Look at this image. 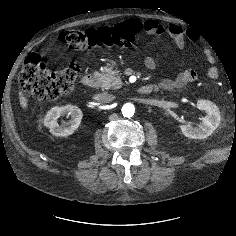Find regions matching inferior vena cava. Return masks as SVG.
Segmentation results:
<instances>
[{
  "label": "inferior vena cava",
  "instance_id": "obj_1",
  "mask_svg": "<svg viewBox=\"0 0 236 236\" xmlns=\"http://www.w3.org/2000/svg\"><path fill=\"white\" fill-rule=\"evenodd\" d=\"M97 99L102 103H109L115 99V96L108 93H100L97 95Z\"/></svg>",
  "mask_w": 236,
  "mask_h": 236
}]
</instances>
